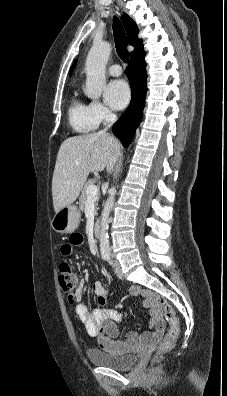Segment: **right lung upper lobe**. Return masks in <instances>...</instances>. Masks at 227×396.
<instances>
[{
  "mask_svg": "<svg viewBox=\"0 0 227 396\" xmlns=\"http://www.w3.org/2000/svg\"><path fill=\"white\" fill-rule=\"evenodd\" d=\"M122 22L127 33L128 43L134 47V51L130 53V55H132L134 52L143 47L142 40L138 38L139 29L136 26V23L127 14H123ZM75 64L76 61L72 65L69 74H71Z\"/></svg>",
  "mask_w": 227,
  "mask_h": 396,
  "instance_id": "cb5924a9",
  "label": "right lung upper lobe"
}]
</instances>
